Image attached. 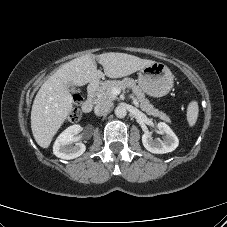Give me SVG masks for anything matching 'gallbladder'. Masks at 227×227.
Listing matches in <instances>:
<instances>
[{"label":"gallbladder","instance_id":"obj_1","mask_svg":"<svg viewBox=\"0 0 227 227\" xmlns=\"http://www.w3.org/2000/svg\"><path fill=\"white\" fill-rule=\"evenodd\" d=\"M67 88H68V90H69L70 92H75V87H74L73 85L68 84V85H67Z\"/></svg>","mask_w":227,"mask_h":227}]
</instances>
